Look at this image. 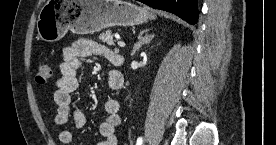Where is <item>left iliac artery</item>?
<instances>
[{"label": "left iliac artery", "instance_id": "1", "mask_svg": "<svg viewBox=\"0 0 276 145\" xmlns=\"http://www.w3.org/2000/svg\"><path fill=\"white\" fill-rule=\"evenodd\" d=\"M142 143H143V138L139 137L136 141V145H142Z\"/></svg>", "mask_w": 276, "mask_h": 145}]
</instances>
